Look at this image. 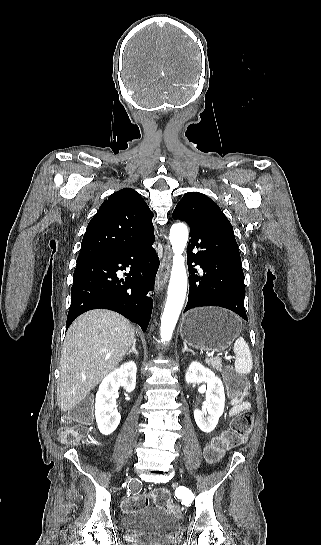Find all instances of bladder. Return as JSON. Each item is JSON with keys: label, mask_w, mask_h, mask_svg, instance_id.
<instances>
[{"label": "bladder", "mask_w": 321, "mask_h": 545, "mask_svg": "<svg viewBox=\"0 0 321 545\" xmlns=\"http://www.w3.org/2000/svg\"><path fill=\"white\" fill-rule=\"evenodd\" d=\"M125 539L136 545L168 543L180 531L179 520L158 507H143L123 516Z\"/></svg>", "instance_id": "bladder-1"}]
</instances>
